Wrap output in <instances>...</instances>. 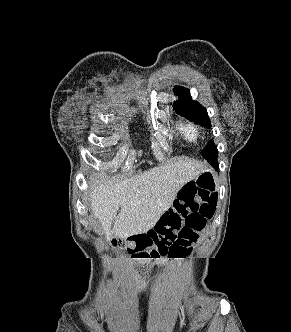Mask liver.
Returning a JSON list of instances; mask_svg holds the SVG:
<instances>
[{
    "instance_id": "6515ba94",
    "label": "liver",
    "mask_w": 291,
    "mask_h": 332,
    "mask_svg": "<svg viewBox=\"0 0 291 332\" xmlns=\"http://www.w3.org/2000/svg\"><path fill=\"white\" fill-rule=\"evenodd\" d=\"M204 170L202 162L178 157L119 183L102 180L90 192L91 211L107 240L112 234L127 238L145 233L171 207L179 190Z\"/></svg>"
}]
</instances>
